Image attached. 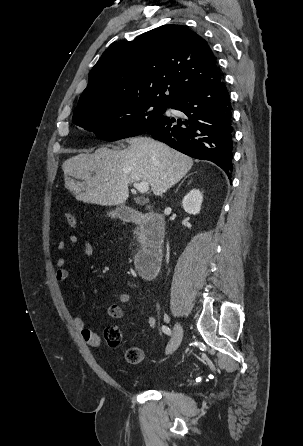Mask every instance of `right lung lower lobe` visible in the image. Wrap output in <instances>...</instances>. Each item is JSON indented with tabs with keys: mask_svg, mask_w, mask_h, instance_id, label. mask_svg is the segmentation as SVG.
I'll return each instance as SVG.
<instances>
[{
	"mask_svg": "<svg viewBox=\"0 0 303 446\" xmlns=\"http://www.w3.org/2000/svg\"><path fill=\"white\" fill-rule=\"evenodd\" d=\"M170 107L186 116L164 115L145 133L188 156L214 162L230 178L234 131L231 100L224 80L193 89Z\"/></svg>",
	"mask_w": 303,
	"mask_h": 446,
	"instance_id": "1",
	"label": "right lung lower lobe"
}]
</instances>
